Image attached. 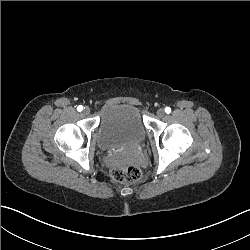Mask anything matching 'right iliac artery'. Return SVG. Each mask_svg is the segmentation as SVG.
Returning a JSON list of instances; mask_svg holds the SVG:
<instances>
[{"mask_svg":"<svg viewBox=\"0 0 250 250\" xmlns=\"http://www.w3.org/2000/svg\"><path fill=\"white\" fill-rule=\"evenodd\" d=\"M77 110H78L79 112H81V111L83 110V106H82V105H79V106L77 107Z\"/></svg>","mask_w":250,"mask_h":250,"instance_id":"82829eb1","label":"right iliac artery"}]
</instances>
